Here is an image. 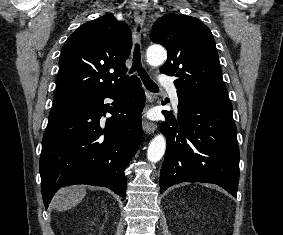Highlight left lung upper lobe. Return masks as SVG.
Listing matches in <instances>:
<instances>
[{"label":"left lung upper lobe","instance_id":"left-lung-upper-lobe-1","mask_svg":"<svg viewBox=\"0 0 283 235\" xmlns=\"http://www.w3.org/2000/svg\"><path fill=\"white\" fill-rule=\"evenodd\" d=\"M150 38L168 52L160 71L177 79V90L190 95L229 101L210 29L197 18L168 14L153 25Z\"/></svg>","mask_w":283,"mask_h":235}]
</instances>
